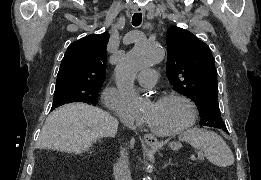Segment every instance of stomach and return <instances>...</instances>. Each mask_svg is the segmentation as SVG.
<instances>
[{
    "label": "stomach",
    "instance_id": "obj_1",
    "mask_svg": "<svg viewBox=\"0 0 261 180\" xmlns=\"http://www.w3.org/2000/svg\"><path fill=\"white\" fill-rule=\"evenodd\" d=\"M169 146L173 150L178 148V144L177 143H170Z\"/></svg>",
    "mask_w": 261,
    "mask_h": 180
}]
</instances>
